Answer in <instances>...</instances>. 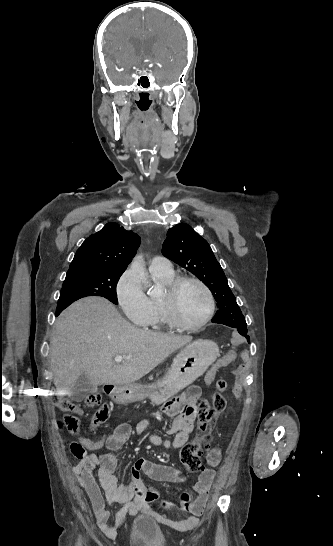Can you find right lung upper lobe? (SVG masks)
<instances>
[{
	"instance_id": "obj_1",
	"label": "right lung upper lobe",
	"mask_w": 333,
	"mask_h": 546,
	"mask_svg": "<svg viewBox=\"0 0 333 546\" xmlns=\"http://www.w3.org/2000/svg\"><path fill=\"white\" fill-rule=\"evenodd\" d=\"M140 245V237L108 223L88 237L77 250L67 274L88 272L96 268L126 270Z\"/></svg>"
}]
</instances>
